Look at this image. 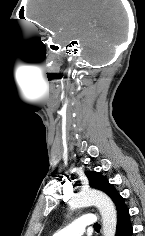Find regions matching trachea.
Wrapping results in <instances>:
<instances>
[{
  "instance_id": "obj_1",
  "label": "trachea",
  "mask_w": 145,
  "mask_h": 236,
  "mask_svg": "<svg viewBox=\"0 0 145 236\" xmlns=\"http://www.w3.org/2000/svg\"><path fill=\"white\" fill-rule=\"evenodd\" d=\"M94 228H96V229L98 228V229H99V228H100V224L95 223V224H94Z\"/></svg>"
}]
</instances>
